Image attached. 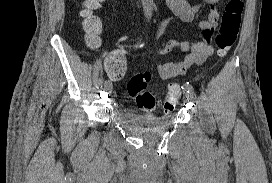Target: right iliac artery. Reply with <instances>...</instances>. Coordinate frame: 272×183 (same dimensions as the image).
Here are the masks:
<instances>
[{
    "label": "right iliac artery",
    "instance_id": "right-iliac-artery-1",
    "mask_svg": "<svg viewBox=\"0 0 272 183\" xmlns=\"http://www.w3.org/2000/svg\"><path fill=\"white\" fill-rule=\"evenodd\" d=\"M140 42H141V40H140ZM140 42H138L136 45H135V48L137 49V48H139L141 45H140ZM108 81H106L105 82V84L107 83Z\"/></svg>",
    "mask_w": 272,
    "mask_h": 183
}]
</instances>
